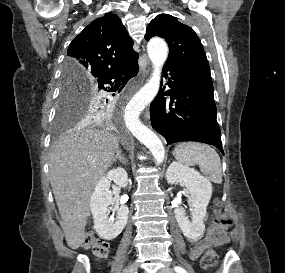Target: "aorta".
<instances>
[{
    "label": "aorta",
    "mask_w": 285,
    "mask_h": 273,
    "mask_svg": "<svg viewBox=\"0 0 285 273\" xmlns=\"http://www.w3.org/2000/svg\"><path fill=\"white\" fill-rule=\"evenodd\" d=\"M148 56L153 64V72L146 84L133 96L126 107L125 122L132 134L152 153L157 164L165 157V150L158 136L139 120L141 111L155 98L159 91L161 69L168 55L166 42L152 38L147 44Z\"/></svg>",
    "instance_id": "1"
}]
</instances>
